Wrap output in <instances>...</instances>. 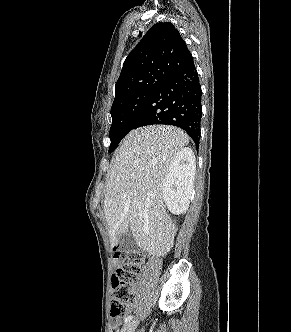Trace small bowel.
<instances>
[{"instance_id": "1", "label": "small bowel", "mask_w": 291, "mask_h": 332, "mask_svg": "<svg viewBox=\"0 0 291 332\" xmlns=\"http://www.w3.org/2000/svg\"><path fill=\"white\" fill-rule=\"evenodd\" d=\"M114 264L118 265L119 264V260L118 259H114Z\"/></svg>"}]
</instances>
